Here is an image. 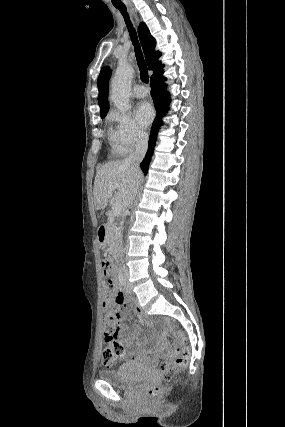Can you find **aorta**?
<instances>
[{
    "label": "aorta",
    "mask_w": 285,
    "mask_h": 427,
    "mask_svg": "<svg viewBox=\"0 0 285 427\" xmlns=\"http://www.w3.org/2000/svg\"><path fill=\"white\" fill-rule=\"evenodd\" d=\"M133 68L126 63H119L111 83V101L121 111L126 112L130 108L131 80ZM122 236L120 237V252Z\"/></svg>",
    "instance_id": "762f6f07"
}]
</instances>
